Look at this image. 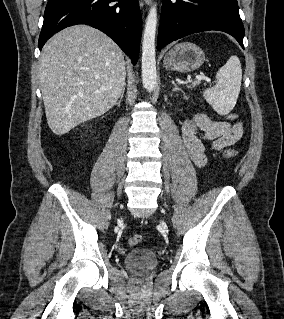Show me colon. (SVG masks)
Here are the masks:
<instances>
[{"label": "colon", "instance_id": "obj_1", "mask_svg": "<svg viewBox=\"0 0 284 319\" xmlns=\"http://www.w3.org/2000/svg\"><path fill=\"white\" fill-rule=\"evenodd\" d=\"M237 117H238V115L236 113H230L227 115L228 120H235ZM236 154H237L236 151L233 149H228L224 152V156L226 158H233L236 156ZM142 240H143V236L136 234V235H133L132 237H130L128 242L131 246H137L142 242Z\"/></svg>", "mask_w": 284, "mask_h": 319}]
</instances>
